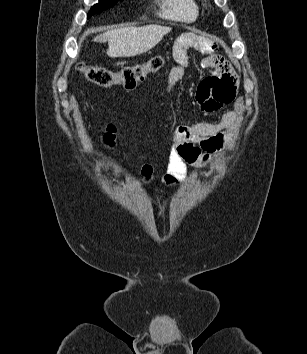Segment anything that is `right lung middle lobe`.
<instances>
[{"label":"right lung middle lobe","instance_id":"dd1d6c3e","mask_svg":"<svg viewBox=\"0 0 307 354\" xmlns=\"http://www.w3.org/2000/svg\"><path fill=\"white\" fill-rule=\"evenodd\" d=\"M119 0H99L98 4H95L90 12L88 13L87 18L91 17L94 14L100 13L103 10H106L112 6H114ZM122 1V0H120Z\"/></svg>","mask_w":307,"mask_h":354}]
</instances>
